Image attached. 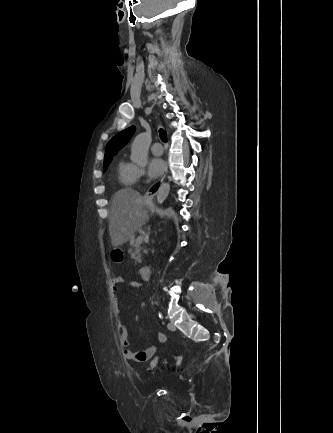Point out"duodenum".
<instances>
[{
	"instance_id": "obj_1",
	"label": "duodenum",
	"mask_w": 333,
	"mask_h": 433,
	"mask_svg": "<svg viewBox=\"0 0 333 433\" xmlns=\"http://www.w3.org/2000/svg\"><path fill=\"white\" fill-rule=\"evenodd\" d=\"M135 241H136V238L135 237H131L129 245L133 246ZM139 272H140V276H141L142 280H146L147 281V280L150 279V277H151V269H150V267L143 266V267L140 268Z\"/></svg>"
}]
</instances>
